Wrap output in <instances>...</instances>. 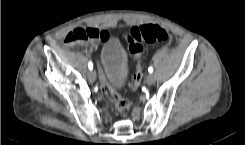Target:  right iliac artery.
<instances>
[{"mask_svg": "<svg viewBox=\"0 0 245 145\" xmlns=\"http://www.w3.org/2000/svg\"><path fill=\"white\" fill-rule=\"evenodd\" d=\"M88 68H89L90 70L93 69V64H92V62H89V63H88Z\"/></svg>", "mask_w": 245, "mask_h": 145, "instance_id": "obj_1", "label": "right iliac artery"}]
</instances>
